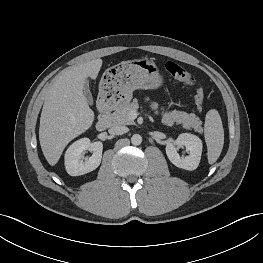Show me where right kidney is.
<instances>
[{
    "mask_svg": "<svg viewBox=\"0 0 263 263\" xmlns=\"http://www.w3.org/2000/svg\"><path fill=\"white\" fill-rule=\"evenodd\" d=\"M90 150L92 156L82 160L84 151ZM103 144L100 141L91 143L90 139L82 138L69 146L65 153V168L69 175L80 176L95 170L101 163Z\"/></svg>",
    "mask_w": 263,
    "mask_h": 263,
    "instance_id": "1",
    "label": "right kidney"
}]
</instances>
